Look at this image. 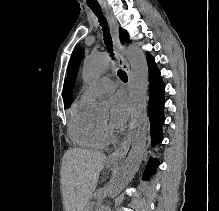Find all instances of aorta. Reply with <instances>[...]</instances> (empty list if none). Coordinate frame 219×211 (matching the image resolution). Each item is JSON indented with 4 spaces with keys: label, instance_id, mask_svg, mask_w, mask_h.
I'll use <instances>...</instances> for the list:
<instances>
[{
    "label": "aorta",
    "instance_id": "aorta-1",
    "mask_svg": "<svg viewBox=\"0 0 219 211\" xmlns=\"http://www.w3.org/2000/svg\"><path fill=\"white\" fill-rule=\"evenodd\" d=\"M126 56L131 67V118L134 130L130 152L110 181L107 195L111 199L128 185L140 168L147 141L148 66L143 52L136 46H128ZM109 61L110 58L105 52L86 57L82 69L83 81L89 84L97 79L106 70ZM107 112L105 103L96 102L93 105V113L96 116H105Z\"/></svg>",
    "mask_w": 219,
    "mask_h": 211
}]
</instances>
